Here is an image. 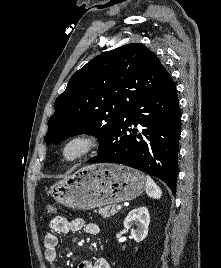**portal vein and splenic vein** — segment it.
I'll use <instances>...</instances> for the list:
<instances>
[{"label":"portal vein and splenic vein","mask_w":221,"mask_h":268,"mask_svg":"<svg viewBox=\"0 0 221 268\" xmlns=\"http://www.w3.org/2000/svg\"><path fill=\"white\" fill-rule=\"evenodd\" d=\"M121 208H122L121 205H117V206H116V209H117V210H120Z\"/></svg>","instance_id":"1"}]
</instances>
